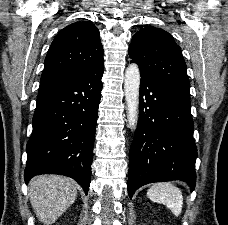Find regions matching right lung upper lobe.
<instances>
[{
	"mask_svg": "<svg viewBox=\"0 0 228 225\" xmlns=\"http://www.w3.org/2000/svg\"><path fill=\"white\" fill-rule=\"evenodd\" d=\"M103 47L98 28L89 21L63 28L53 40L40 84L80 74L103 62Z\"/></svg>",
	"mask_w": 228,
	"mask_h": 225,
	"instance_id": "1",
	"label": "right lung upper lobe"
}]
</instances>
